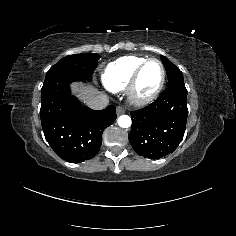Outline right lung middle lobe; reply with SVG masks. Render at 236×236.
<instances>
[{"mask_svg": "<svg viewBox=\"0 0 236 236\" xmlns=\"http://www.w3.org/2000/svg\"><path fill=\"white\" fill-rule=\"evenodd\" d=\"M99 59L100 55L90 53L66 56L47 72L45 80L57 75L75 74L91 81Z\"/></svg>", "mask_w": 236, "mask_h": 236, "instance_id": "1", "label": "right lung middle lobe"}]
</instances>
